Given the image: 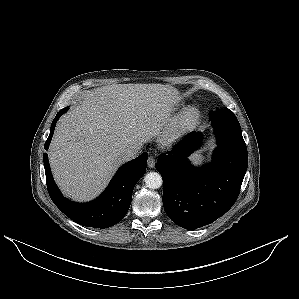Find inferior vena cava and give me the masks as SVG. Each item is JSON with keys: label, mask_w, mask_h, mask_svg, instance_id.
<instances>
[{"label": "inferior vena cava", "mask_w": 299, "mask_h": 299, "mask_svg": "<svg viewBox=\"0 0 299 299\" xmlns=\"http://www.w3.org/2000/svg\"><path fill=\"white\" fill-rule=\"evenodd\" d=\"M140 149H141L140 144L131 145L122 151V153L120 154V159L123 162L134 159L137 157Z\"/></svg>", "instance_id": "1"}]
</instances>
